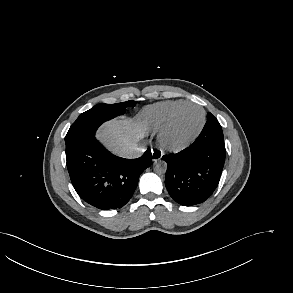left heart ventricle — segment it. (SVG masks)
Masks as SVG:
<instances>
[{"label": "left heart ventricle", "instance_id": "b2bd125f", "mask_svg": "<svg viewBox=\"0 0 293 293\" xmlns=\"http://www.w3.org/2000/svg\"><path fill=\"white\" fill-rule=\"evenodd\" d=\"M202 113L197 107H186L178 114L169 134V141L181 144L191 138L201 124Z\"/></svg>", "mask_w": 293, "mask_h": 293}]
</instances>
